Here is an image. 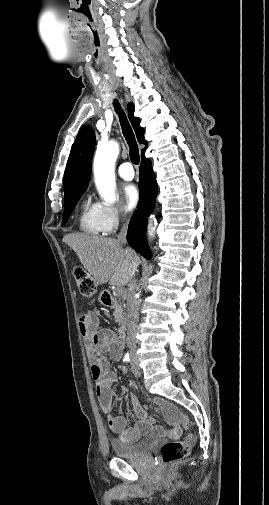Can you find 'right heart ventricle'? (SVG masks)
Instances as JSON below:
<instances>
[{
  "label": "right heart ventricle",
  "instance_id": "obj_1",
  "mask_svg": "<svg viewBox=\"0 0 269 505\" xmlns=\"http://www.w3.org/2000/svg\"><path fill=\"white\" fill-rule=\"evenodd\" d=\"M79 228L91 235H102L106 231L101 220L100 204L89 197L84 199L79 213Z\"/></svg>",
  "mask_w": 269,
  "mask_h": 505
}]
</instances>
